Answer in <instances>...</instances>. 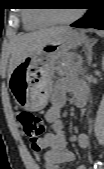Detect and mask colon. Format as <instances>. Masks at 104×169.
Returning <instances> with one entry per match:
<instances>
[{
	"label": "colon",
	"mask_w": 104,
	"mask_h": 169,
	"mask_svg": "<svg viewBox=\"0 0 104 169\" xmlns=\"http://www.w3.org/2000/svg\"><path fill=\"white\" fill-rule=\"evenodd\" d=\"M17 120L26 138L31 142L33 150L39 151L38 141L45 131L43 120L28 111L20 112L17 116Z\"/></svg>",
	"instance_id": "1"
}]
</instances>
